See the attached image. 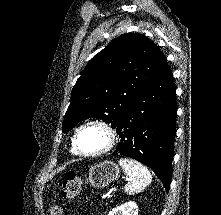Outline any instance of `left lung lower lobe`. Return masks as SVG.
Returning a JSON list of instances; mask_svg holds the SVG:
<instances>
[{"mask_svg":"<svg viewBox=\"0 0 221 215\" xmlns=\"http://www.w3.org/2000/svg\"><path fill=\"white\" fill-rule=\"evenodd\" d=\"M176 89L167 61L127 109L118 126L113 154L131 157L151 168L168 192L176 133Z\"/></svg>","mask_w":221,"mask_h":215,"instance_id":"0a47b994","label":"left lung lower lobe"}]
</instances>
